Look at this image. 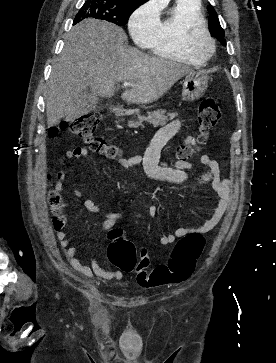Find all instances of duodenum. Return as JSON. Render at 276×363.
<instances>
[{"mask_svg": "<svg viewBox=\"0 0 276 363\" xmlns=\"http://www.w3.org/2000/svg\"><path fill=\"white\" fill-rule=\"evenodd\" d=\"M110 111L114 116H124V110L120 107H112Z\"/></svg>", "mask_w": 276, "mask_h": 363, "instance_id": "obj_1", "label": "duodenum"}]
</instances>
